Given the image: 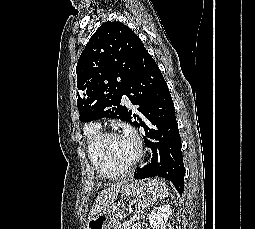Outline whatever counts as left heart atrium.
I'll list each match as a JSON object with an SVG mask.
<instances>
[{
	"label": "left heart atrium",
	"mask_w": 255,
	"mask_h": 229,
	"mask_svg": "<svg viewBox=\"0 0 255 229\" xmlns=\"http://www.w3.org/2000/svg\"><path fill=\"white\" fill-rule=\"evenodd\" d=\"M123 136H125V137H126L127 139H129L130 141L136 142L135 136H134L133 132L130 131V130H127V131L124 133Z\"/></svg>",
	"instance_id": "obj_1"
}]
</instances>
